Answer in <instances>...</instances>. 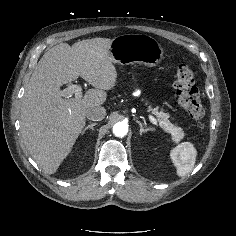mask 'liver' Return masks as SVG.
<instances>
[{"instance_id":"6515ba94","label":"liver","mask_w":236,"mask_h":236,"mask_svg":"<svg viewBox=\"0 0 236 236\" xmlns=\"http://www.w3.org/2000/svg\"><path fill=\"white\" fill-rule=\"evenodd\" d=\"M112 40L93 38L71 47L60 43L42 56L26 87L20 110L24 144L48 174L56 173L85 126L87 111L106 101L116 85ZM83 78L94 89L83 98H64L61 86Z\"/></svg>"}]
</instances>
